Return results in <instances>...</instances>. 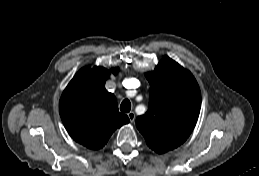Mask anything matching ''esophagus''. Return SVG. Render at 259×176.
Instances as JSON below:
<instances>
[{"mask_svg": "<svg viewBox=\"0 0 259 176\" xmlns=\"http://www.w3.org/2000/svg\"><path fill=\"white\" fill-rule=\"evenodd\" d=\"M128 118L130 119V122L133 123L135 121V113L133 111L129 112Z\"/></svg>", "mask_w": 259, "mask_h": 176, "instance_id": "1", "label": "esophagus"}]
</instances>
